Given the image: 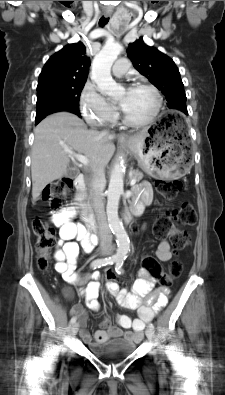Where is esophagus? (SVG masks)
I'll return each mask as SVG.
<instances>
[{
	"instance_id": "obj_1",
	"label": "esophagus",
	"mask_w": 225,
	"mask_h": 395,
	"mask_svg": "<svg viewBox=\"0 0 225 395\" xmlns=\"http://www.w3.org/2000/svg\"><path fill=\"white\" fill-rule=\"evenodd\" d=\"M109 16H110V13H105V17H109ZM127 139H128V135L127 134L121 133L119 135V140H127Z\"/></svg>"
}]
</instances>
